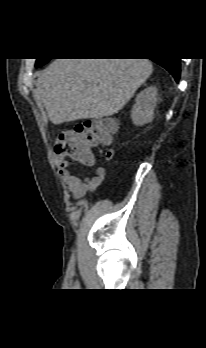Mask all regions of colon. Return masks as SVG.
Wrapping results in <instances>:
<instances>
[{
  "mask_svg": "<svg viewBox=\"0 0 206 348\" xmlns=\"http://www.w3.org/2000/svg\"><path fill=\"white\" fill-rule=\"evenodd\" d=\"M114 130V122L107 118L78 124L73 130L59 134L54 144V152L59 157L90 164L94 160L93 148L109 145ZM111 155L112 150L108 151L106 158L110 159Z\"/></svg>",
  "mask_w": 206,
  "mask_h": 348,
  "instance_id": "1",
  "label": "colon"
}]
</instances>
